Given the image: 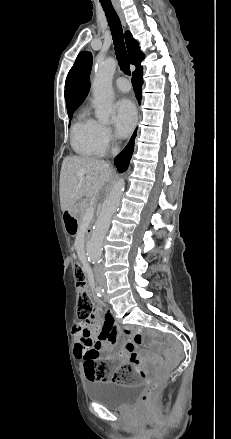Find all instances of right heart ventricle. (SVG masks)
I'll list each match as a JSON object with an SVG mask.
<instances>
[{"label":"right heart ventricle","mask_w":231,"mask_h":439,"mask_svg":"<svg viewBox=\"0 0 231 439\" xmlns=\"http://www.w3.org/2000/svg\"><path fill=\"white\" fill-rule=\"evenodd\" d=\"M96 124L86 109L78 113L71 129V146L77 154L85 157L101 154L95 137Z\"/></svg>","instance_id":"e07e8e85"}]
</instances>
